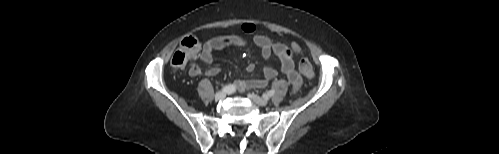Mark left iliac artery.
I'll return each mask as SVG.
<instances>
[{
	"label": "left iliac artery",
	"mask_w": 499,
	"mask_h": 154,
	"mask_svg": "<svg viewBox=\"0 0 499 154\" xmlns=\"http://www.w3.org/2000/svg\"><path fill=\"white\" fill-rule=\"evenodd\" d=\"M275 94V90L274 89H271L270 91H268L266 94L263 95L264 98H269V97H272L273 95Z\"/></svg>",
	"instance_id": "1"
}]
</instances>
